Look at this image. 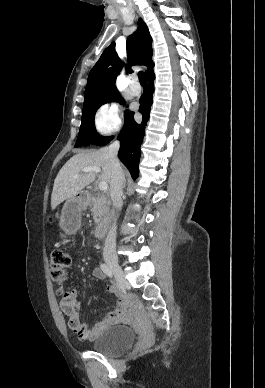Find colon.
<instances>
[{"label": "colon", "instance_id": "colon-1", "mask_svg": "<svg viewBox=\"0 0 265 388\" xmlns=\"http://www.w3.org/2000/svg\"><path fill=\"white\" fill-rule=\"evenodd\" d=\"M72 261V255L63 250H54L50 256V275L56 283L57 292L61 295H66L70 291L66 284V274Z\"/></svg>", "mask_w": 265, "mask_h": 388}]
</instances>
